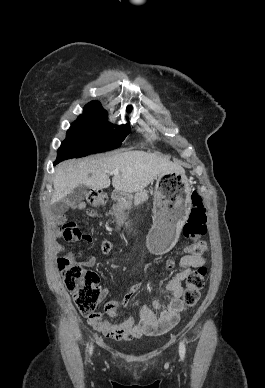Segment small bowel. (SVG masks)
<instances>
[{"mask_svg":"<svg viewBox=\"0 0 265 388\" xmlns=\"http://www.w3.org/2000/svg\"><path fill=\"white\" fill-rule=\"evenodd\" d=\"M76 209L83 210L87 207L86 202L81 201L74 205ZM87 216L94 218L95 212L87 210ZM82 239L91 243L92 237L84 235ZM57 252L63 251V246L59 243L55 245ZM72 259V256H64ZM84 267H91L95 264L94 258H88L79 262ZM205 264V258L202 256H194L190 254L181 253L179 255V265L181 270L178 271L169 280L164 288V292L169 294V302L164 304L157 297L152 303V307L144 305L139 313V318L136 320L133 317H126L124 319H117V310L121 305L127 304L130 299L141 289L142 283L133 285L124 295L121 301H110L106 304V313L111 318L107 320H91L90 324L104 336L118 340H128L132 338H139L143 335H154L165 333L172 329L179 321L180 314L183 310L181 296L183 294V281L190 274L192 268H197ZM151 265H146V272L151 271ZM109 289L103 288L100 292L99 298L105 299L109 295Z\"/></svg>","mask_w":265,"mask_h":388,"instance_id":"obj_1","label":"small bowel"}]
</instances>
